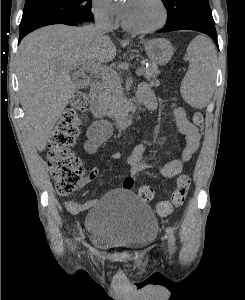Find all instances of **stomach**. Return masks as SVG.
<instances>
[{"mask_svg": "<svg viewBox=\"0 0 245 300\" xmlns=\"http://www.w3.org/2000/svg\"><path fill=\"white\" fill-rule=\"evenodd\" d=\"M149 59L157 65L167 64L173 56L174 49L171 43L163 38L143 41Z\"/></svg>", "mask_w": 245, "mask_h": 300, "instance_id": "0dacf381", "label": "stomach"}]
</instances>
